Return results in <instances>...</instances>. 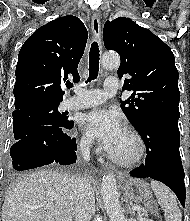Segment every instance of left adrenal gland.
<instances>
[{"label":"left adrenal gland","instance_id":"a2214340","mask_svg":"<svg viewBox=\"0 0 190 221\" xmlns=\"http://www.w3.org/2000/svg\"><path fill=\"white\" fill-rule=\"evenodd\" d=\"M126 208L128 209L129 212H131L130 206L126 205Z\"/></svg>","mask_w":190,"mask_h":221}]
</instances>
